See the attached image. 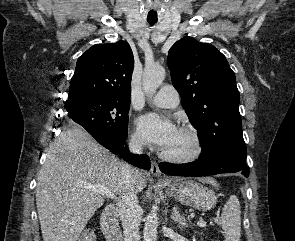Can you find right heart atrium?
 <instances>
[{
    "mask_svg": "<svg viewBox=\"0 0 295 241\" xmlns=\"http://www.w3.org/2000/svg\"><path fill=\"white\" fill-rule=\"evenodd\" d=\"M131 143L137 148L143 147L144 143L141 136L138 133H134L131 137Z\"/></svg>",
    "mask_w": 295,
    "mask_h": 241,
    "instance_id": "obj_1",
    "label": "right heart atrium"
}]
</instances>
